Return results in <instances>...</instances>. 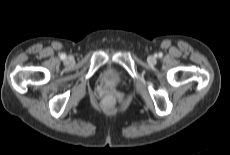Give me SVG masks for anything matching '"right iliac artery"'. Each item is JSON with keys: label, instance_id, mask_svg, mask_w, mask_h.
<instances>
[{"label": "right iliac artery", "instance_id": "right-iliac-artery-1", "mask_svg": "<svg viewBox=\"0 0 230 155\" xmlns=\"http://www.w3.org/2000/svg\"><path fill=\"white\" fill-rule=\"evenodd\" d=\"M60 58H61L62 60H64V59L66 58V55H65V54H61V55H60Z\"/></svg>", "mask_w": 230, "mask_h": 155}]
</instances>
